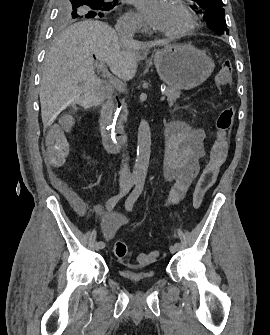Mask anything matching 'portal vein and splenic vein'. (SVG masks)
Listing matches in <instances>:
<instances>
[{"instance_id": "1", "label": "portal vein and splenic vein", "mask_w": 270, "mask_h": 335, "mask_svg": "<svg viewBox=\"0 0 270 335\" xmlns=\"http://www.w3.org/2000/svg\"><path fill=\"white\" fill-rule=\"evenodd\" d=\"M93 65L95 67H98V69L100 71H104V72H101V75H104L103 76V79H107L106 80V83L107 84H111V86L116 90V91H120L121 93H124L126 91V88L124 86H120V83L116 80V79H112V76H110L109 72L106 71L107 69V66H106V62L103 60V59H98V60H95L93 62ZM162 92H165V90H162ZM165 97V96H164ZM165 98H160V101H164Z\"/></svg>"}]
</instances>
